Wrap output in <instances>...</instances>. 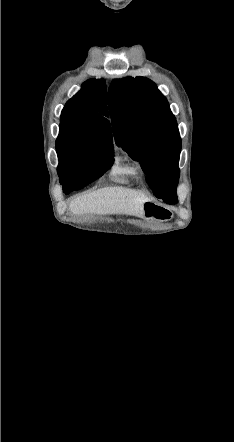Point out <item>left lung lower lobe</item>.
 I'll return each mask as SVG.
<instances>
[{"mask_svg": "<svg viewBox=\"0 0 234 442\" xmlns=\"http://www.w3.org/2000/svg\"><path fill=\"white\" fill-rule=\"evenodd\" d=\"M176 202H171V203H169V204H175Z\"/></svg>", "mask_w": 234, "mask_h": 442, "instance_id": "0a47b994", "label": "left lung lower lobe"}]
</instances>
